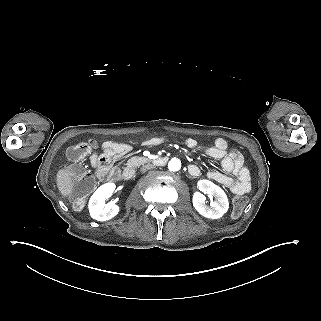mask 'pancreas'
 <instances>
[{
  "instance_id": "cf45deb5",
  "label": "pancreas",
  "mask_w": 321,
  "mask_h": 321,
  "mask_svg": "<svg viewBox=\"0 0 321 321\" xmlns=\"http://www.w3.org/2000/svg\"><path fill=\"white\" fill-rule=\"evenodd\" d=\"M149 161L148 158L140 157V156H134L128 159L127 164L129 166H139L144 163H147Z\"/></svg>"
}]
</instances>
